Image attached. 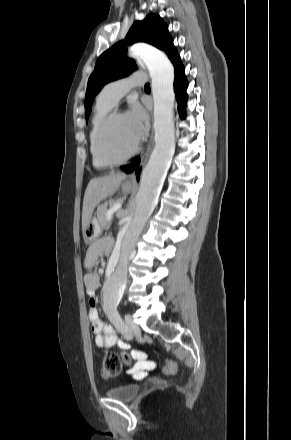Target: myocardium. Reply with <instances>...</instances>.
<instances>
[{"instance_id":"1","label":"myocardium","mask_w":291,"mask_h":440,"mask_svg":"<svg viewBox=\"0 0 291 440\" xmlns=\"http://www.w3.org/2000/svg\"><path fill=\"white\" fill-rule=\"evenodd\" d=\"M124 115L119 110H112L110 111L101 121V123L98 126L97 133H96V146H97V153L98 156L106 163L111 165H119L127 162L129 159H131L140 149V139L137 140L134 147L124 156L117 157L113 156L106 150L105 147V134L107 131V128L109 127L110 123L119 116Z\"/></svg>"}]
</instances>
